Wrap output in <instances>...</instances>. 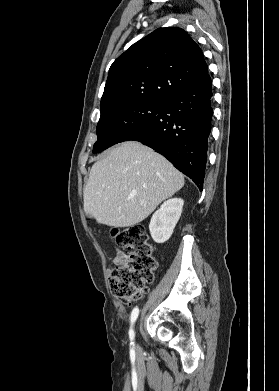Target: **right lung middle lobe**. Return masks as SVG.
Listing matches in <instances>:
<instances>
[{
  "mask_svg": "<svg viewBox=\"0 0 279 391\" xmlns=\"http://www.w3.org/2000/svg\"><path fill=\"white\" fill-rule=\"evenodd\" d=\"M163 103L138 101L101 113L96 129L98 140L94 144L93 152H101L121 142L135 128L150 122L158 114Z\"/></svg>",
  "mask_w": 279,
  "mask_h": 391,
  "instance_id": "dd1d6c3e",
  "label": "right lung middle lobe"
}]
</instances>
